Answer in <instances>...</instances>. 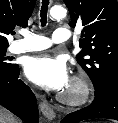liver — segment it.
Segmentation results:
<instances>
[{
  "label": "liver",
  "mask_w": 118,
  "mask_h": 123,
  "mask_svg": "<svg viewBox=\"0 0 118 123\" xmlns=\"http://www.w3.org/2000/svg\"><path fill=\"white\" fill-rule=\"evenodd\" d=\"M0 123H19L8 110L0 106Z\"/></svg>",
  "instance_id": "1"
}]
</instances>
